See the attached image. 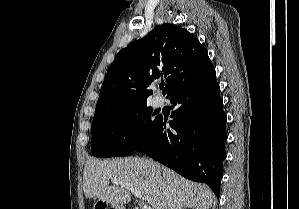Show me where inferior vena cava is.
Instances as JSON below:
<instances>
[{
    "mask_svg": "<svg viewBox=\"0 0 299 209\" xmlns=\"http://www.w3.org/2000/svg\"><path fill=\"white\" fill-rule=\"evenodd\" d=\"M158 209H167V206H166V204H165L164 201H161V202H160V204H159V206H158Z\"/></svg>",
    "mask_w": 299,
    "mask_h": 209,
    "instance_id": "inferior-vena-cava-1",
    "label": "inferior vena cava"
}]
</instances>
